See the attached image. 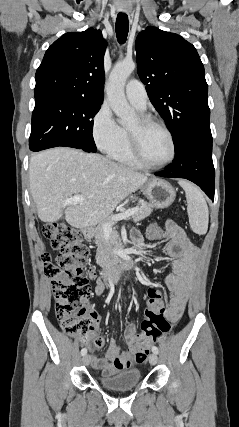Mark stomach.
<instances>
[{"label":"stomach","instance_id":"obj_1","mask_svg":"<svg viewBox=\"0 0 239 427\" xmlns=\"http://www.w3.org/2000/svg\"><path fill=\"white\" fill-rule=\"evenodd\" d=\"M141 189L149 202L156 208L169 207L176 197L174 188L168 182L161 179H151ZM93 234V230L88 231L89 237L93 236Z\"/></svg>","mask_w":239,"mask_h":427}]
</instances>
